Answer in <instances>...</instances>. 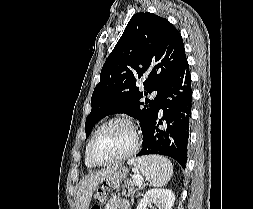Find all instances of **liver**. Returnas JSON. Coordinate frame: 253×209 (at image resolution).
<instances>
[{"mask_svg": "<svg viewBox=\"0 0 253 209\" xmlns=\"http://www.w3.org/2000/svg\"><path fill=\"white\" fill-rule=\"evenodd\" d=\"M114 171L115 168H107L82 178V180L79 182L77 192L78 209H89L93 192L96 190L99 184H101L105 178L112 175Z\"/></svg>", "mask_w": 253, "mask_h": 209, "instance_id": "1", "label": "liver"}]
</instances>
